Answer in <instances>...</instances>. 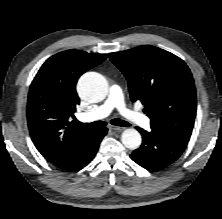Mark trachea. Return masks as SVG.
I'll return each instance as SVG.
<instances>
[{"mask_svg":"<svg viewBox=\"0 0 222 219\" xmlns=\"http://www.w3.org/2000/svg\"><path fill=\"white\" fill-rule=\"evenodd\" d=\"M79 126L86 128V129H96V128H100L106 125V122L104 121H95L92 123H81V122H77ZM112 125L115 126H121V127H128L130 126V124L124 120L121 119H112L111 121Z\"/></svg>","mask_w":222,"mask_h":219,"instance_id":"trachea-1","label":"trachea"}]
</instances>
